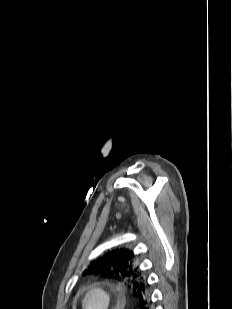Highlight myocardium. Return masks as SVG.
<instances>
[{
    "label": "myocardium",
    "instance_id": "1",
    "mask_svg": "<svg viewBox=\"0 0 232 309\" xmlns=\"http://www.w3.org/2000/svg\"><path fill=\"white\" fill-rule=\"evenodd\" d=\"M91 294H98L102 297L104 303L101 309H110L112 305V295L107 288L101 285H93L86 290L82 299V309L88 308L87 300Z\"/></svg>",
    "mask_w": 232,
    "mask_h": 309
}]
</instances>
